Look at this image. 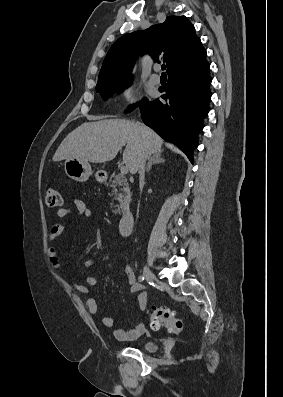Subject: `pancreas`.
Here are the masks:
<instances>
[{
	"label": "pancreas",
	"mask_w": 283,
	"mask_h": 397,
	"mask_svg": "<svg viewBox=\"0 0 283 397\" xmlns=\"http://www.w3.org/2000/svg\"><path fill=\"white\" fill-rule=\"evenodd\" d=\"M111 187L113 188L112 192L115 194L117 200L121 204L118 209L114 211V213H120L122 207L128 206L131 201V191L129 188V184L127 183V180L124 178L123 175L118 174L114 176Z\"/></svg>",
	"instance_id": "obj_1"
}]
</instances>
